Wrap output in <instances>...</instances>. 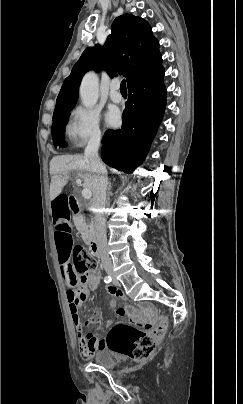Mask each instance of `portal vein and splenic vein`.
<instances>
[{
  "instance_id": "obj_1",
  "label": "portal vein and splenic vein",
  "mask_w": 243,
  "mask_h": 404,
  "mask_svg": "<svg viewBox=\"0 0 243 404\" xmlns=\"http://www.w3.org/2000/svg\"><path fill=\"white\" fill-rule=\"evenodd\" d=\"M76 182L77 184H81V180H76ZM82 196L83 198H86V200H89V198L92 196V192H90L88 188H84V190H82Z\"/></svg>"
}]
</instances>
